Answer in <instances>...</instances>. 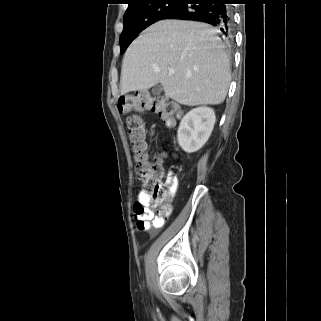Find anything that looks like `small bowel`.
Segmentation results:
<instances>
[{
  "label": "small bowel",
  "mask_w": 321,
  "mask_h": 321,
  "mask_svg": "<svg viewBox=\"0 0 321 321\" xmlns=\"http://www.w3.org/2000/svg\"><path fill=\"white\" fill-rule=\"evenodd\" d=\"M167 157L166 153H160L158 155V159L162 162ZM164 177L163 186L166 188L167 199L170 203L172 199L175 197L177 188H178V178L175 173L169 170L166 174H164L162 170V174L160 180ZM139 204L146 208V212L138 213L135 210V205ZM134 205V211L136 214L137 227L140 230L149 231L150 234L155 235L158 233L159 229L164 225L165 218L155 215L151 210L147 209L148 207H155L156 202L152 201V195L146 190L142 189L137 194V203ZM170 205V204H169Z\"/></svg>",
  "instance_id": "c3829d8e"
}]
</instances>
